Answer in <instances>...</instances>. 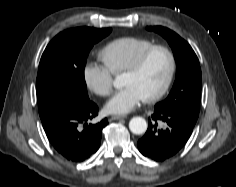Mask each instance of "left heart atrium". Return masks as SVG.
I'll return each mask as SVG.
<instances>
[{
	"label": "left heart atrium",
	"mask_w": 236,
	"mask_h": 187,
	"mask_svg": "<svg viewBox=\"0 0 236 187\" xmlns=\"http://www.w3.org/2000/svg\"><path fill=\"white\" fill-rule=\"evenodd\" d=\"M144 100L143 95L134 86H125L116 92L107 102L105 109L108 113L123 115L131 112Z\"/></svg>",
	"instance_id": "left-heart-atrium-1"
}]
</instances>
